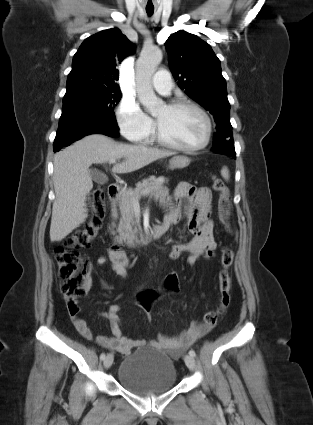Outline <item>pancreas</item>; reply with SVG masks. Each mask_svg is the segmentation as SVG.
<instances>
[{
    "instance_id": "cf45deb5",
    "label": "pancreas",
    "mask_w": 313,
    "mask_h": 425,
    "mask_svg": "<svg viewBox=\"0 0 313 425\" xmlns=\"http://www.w3.org/2000/svg\"><path fill=\"white\" fill-rule=\"evenodd\" d=\"M163 179H156L150 176L136 184V188L122 190L119 197V208L121 218L117 227L118 236L116 240L119 244L134 247L139 243L138 236L142 235L140 222L134 212V203L138 202L142 196L158 201L160 205H165L169 200V189L164 186Z\"/></svg>"
}]
</instances>
